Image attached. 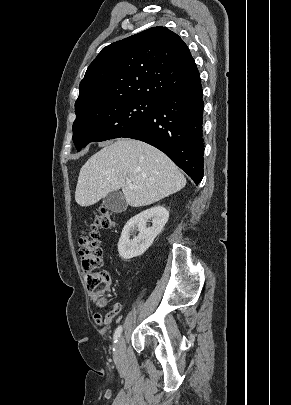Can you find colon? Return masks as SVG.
<instances>
[{"label":"colon","mask_w":291,"mask_h":405,"mask_svg":"<svg viewBox=\"0 0 291 405\" xmlns=\"http://www.w3.org/2000/svg\"><path fill=\"white\" fill-rule=\"evenodd\" d=\"M113 226V219L104 209L100 210L94 220L79 238V257L89 294L100 306L106 303L105 297L111 289V277L102 266V250L99 244L98 230Z\"/></svg>","instance_id":"obj_1"}]
</instances>
